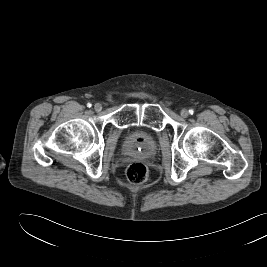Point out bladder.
<instances>
[{"label": "bladder", "instance_id": "bladder-1", "mask_svg": "<svg viewBox=\"0 0 267 267\" xmlns=\"http://www.w3.org/2000/svg\"><path fill=\"white\" fill-rule=\"evenodd\" d=\"M124 151L128 154L152 157L157 151V140L147 130L134 129L129 131L125 136Z\"/></svg>", "mask_w": 267, "mask_h": 267}]
</instances>
